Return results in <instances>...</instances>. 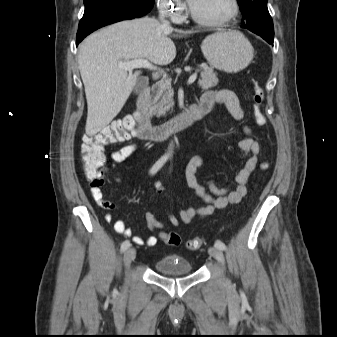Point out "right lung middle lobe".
<instances>
[{"label":"right lung middle lobe","mask_w":337,"mask_h":337,"mask_svg":"<svg viewBox=\"0 0 337 337\" xmlns=\"http://www.w3.org/2000/svg\"><path fill=\"white\" fill-rule=\"evenodd\" d=\"M87 1H89V0H84V3H86ZM135 1H139V2H150V1H152V0H135Z\"/></svg>","instance_id":"obj_1"}]
</instances>
